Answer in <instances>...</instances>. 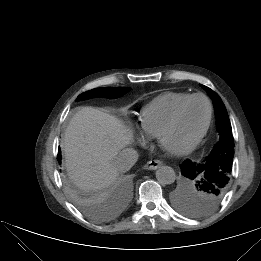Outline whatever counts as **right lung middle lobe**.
<instances>
[{
    "mask_svg": "<svg viewBox=\"0 0 261 261\" xmlns=\"http://www.w3.org/2000/svg\"><path fill=\"white\" fill-rule=\"evenodd\" d=\"M129 90L130 88H109V87L96 88L79 95L77 97V100H83L92 97L117 98L124 95ZM82 207H84V210L86 212L90 213V210L88 208H86L85 206Z\"/></svg>",
    "mask_w": 261,
    "mask_h": 261,
    "instance_id": "dd1d6c3e",
    "label": "right lung middle lobe"
}]
</instances>
